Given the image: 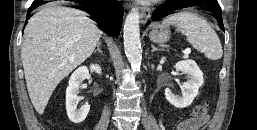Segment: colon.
<instances>
[{"label":"colon","instance_id":"colon-1","mask_svg":"<svg viewBox=\"0 0 257 130\" xmlns=\"http://www.w3.org/2000/svg\"><path fill=\"white\" fill-rule=\"evenodd\" d=\"M208 113V104L203 103L198 106H196L192 112L193 119L201 120L206 117Z\"/></svg>","mask_w":257,"mask_h":130}]
</instances>
